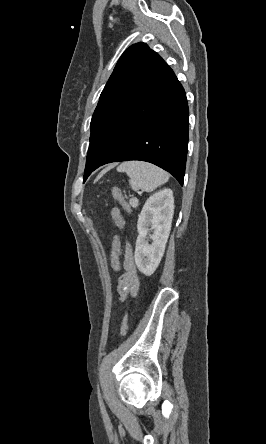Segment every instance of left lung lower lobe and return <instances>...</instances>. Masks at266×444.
<instances>
[{
	"instance_id": "left-lung-lower-lobe-1",
	"label": "left lung lower lobe",
	"mask_w": 266,
	"mask_h": 444,
	"mask_svg": "<svg viewBox=\"0 0 266 444\" xmlns=\"http://www.w3.org/2000/svg\"><path fill=\"white\" fill-rule=\"evenodd\" d=\"M189 110L172 72L110 118L91 140L84 181L106 163L141 160L171 173L183 185Z\"/></svg>"
}]
</instances>
